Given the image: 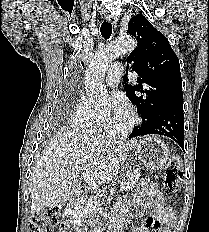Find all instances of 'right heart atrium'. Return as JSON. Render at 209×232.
Returning a JSON list of instances; mask_svg holds the SVG:
<instances>
[{"mask_svg":"<svg viewBox=\"0 0 209 232\" xmlns=\"http://www.w3.org/2000/svg\"><path fill=\"white\" fill-rule=\"evenodd\" d=\"M71 126L80 132H93L103 124L102 118L95 112L89 99L80 95L71 115Z\"/></svg>","mask_w":209,"mask_h":232,"instance_id":"right-heart-atrium-1","label":"right heart atrium"}]
</instances>
